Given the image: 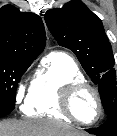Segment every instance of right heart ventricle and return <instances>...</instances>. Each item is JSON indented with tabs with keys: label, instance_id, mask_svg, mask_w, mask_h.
Masks as SVG:
<instances>
[{
	"label": "right heart ventricle",
	"instance_id": "e07e8e85",
	"mask_svg": "<svg viewBox=\"0 0 117 136\" xmlns=\"http://www.w3.org/2000/svg\"><path fill=\"white\" fill-rule=\"evenodd\" d=\"M85 77L75 60L65 52H51L36 71L23 112L32 117H48L71 121L61 110L62 90Z\"/></svg>",
	"mask_w": 117,
	"mask_h": 136
}]
</instances>
